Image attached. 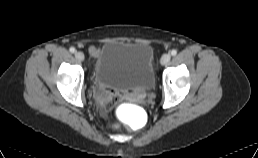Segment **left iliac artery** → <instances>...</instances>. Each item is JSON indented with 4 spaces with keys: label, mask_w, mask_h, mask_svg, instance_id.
<instances>
[{
    "label": "left iliac artery",
    "mask_w": 258,
    "mask_h": 158,
    "mask_svg": "<svg viewBox=\"0 0 258 158\" xmlns=\"http://www.w3.org/2000/svg\"><path fill=\"white\" fill-rule=\"evenodd\" d=\"M176 54H177V50L173 49V50L171 51V55H172V56H175Z\"/></svg>",
    "instance_id": "left-iliac-artery-1"
}]
</instances>
